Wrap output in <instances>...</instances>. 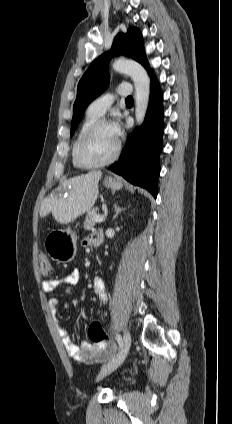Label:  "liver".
I'll use <instances>...</instances> for the list:
<instances>
[{
  "mask_svg": "<svg viewBox=\"0 0 232 424\" xmlns=\"http://www.w3.org/2000/svg\"><path fill=\"white\" fill-rule=\"evenodd\" d=\"M101 176V171H91L63 181L56 193L42 201L40 216L52 213L57 222L67 224L89 212L97 200Z\"/></svg>",
  "mask_w": 232,
  "mask_h": 424,
  "instance_id": "1",
  "label": "liver"
}]
</instances>
